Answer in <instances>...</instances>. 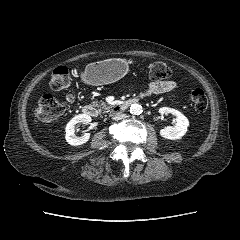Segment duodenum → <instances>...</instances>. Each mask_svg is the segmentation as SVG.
<instances>
[{
  "label": "duodenum",
  "instance_id": "410a0bca",
  "mask_svg": "<svg viewBox=\"0 0 240 240\" xmlns=\"http://www.w3.org/2000/svg\"><path fill=\"white\" fill-rule=\"evenodd\" d=\"M139 100L138 97L135 98H130L124 101H121L115 105H113L112 107V111L113 112H121L124 111L125 109L129 108L131 105L137 103ZM82 112L90 117H94L96 115V111L93 107H91L90 105H85L83 106Z\"/></svg>",
  "mask_w": 240,
  "mask_h": 240
}]
</instances>
